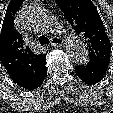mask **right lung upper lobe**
Here are the masks:
<instances>
[{"instance_id": "right-lung-upper-lobe-1", "label": "right lung upper lobe", "mask_w": 113, "mask_h": 113, "mask_svg": "<svg viewBox=\"0 0 113 113\" xmlns=\"http://www.w3.org/2000/svg\"><path fill=\"white\" fill-rule=\"evenodd\" d=\"M22 2L11 0L6 10L0 33V60L15 83L30 89L47 73L46 54H34L14 28V16Z\"/></svg>"}]
</instances>
